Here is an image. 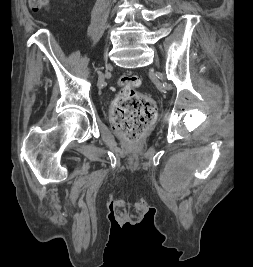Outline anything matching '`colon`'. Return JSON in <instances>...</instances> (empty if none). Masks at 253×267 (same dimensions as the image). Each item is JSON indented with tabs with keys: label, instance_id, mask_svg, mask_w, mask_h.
<instances>
[{
	"label": "colon",
	"instance_id": "1",
	"mask_svg": "<svg viewBox=\"0 0 253 267\" xmlns=\"http://www.w3.org/2000/svg\"><path fill=\"white\" fill-rule=\"evenodd\" d=\"M33 11L47 7L49 0H29ZM121 90L112 108L113 128L130 143L135 144L151 125L155 114L154 101L137 89L141 80L136 75H123L118 81Z\"/></svg>",
	"mask_w": 253,
	"mask_h": 267
}]
</instances>
